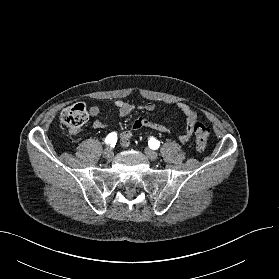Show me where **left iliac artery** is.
<instances>
[{
    "instance_id": "1",
    "label": "left iliac artery",
    "mask_w": 279,
    "mask_h": 279,
    "mask_svg": "<svg viewBox=\"0 0 279 279\" xmlns=\"http://www.w3.org/2000/svg\"><path fill=\"white\" fill-rule=\"evenodd\" d=\"M148 145L152 149H158L159 146H160V142L152 137V138L149 139Z\"/></svg>"
}]
</instances>
